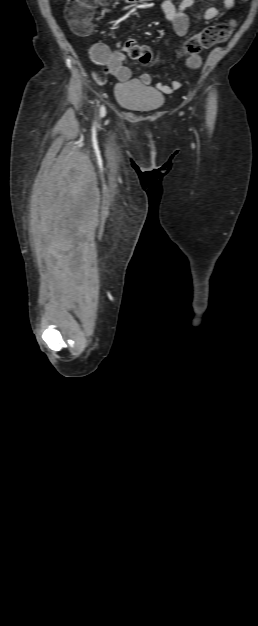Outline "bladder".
Masks as SVG:
<instances>
[{
  "mask_svg": "<svg viewBox=\"0 0 258 626\" xmlns=\"http://www.w3.org/2000/svg\"><path fill=\"white\" fill-rule=\"evenodd\" d=\"M114 97L121 106L139 112L156 110L164 103L161 92L136 79L116 84Z\"/></svg>",
  "mask_w": 258,
  "mask_h": 626,
  "instance_id": "obj_1",
  "label": "bladder"
}]
</instances>
